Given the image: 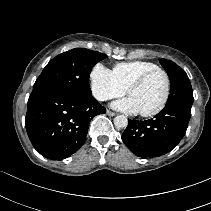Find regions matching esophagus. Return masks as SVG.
<instances>
[{
    "label": "esophagus",
    "mask_w": 211,
    "mask_h": 211,
    "mask_svg": "<svg viewBox=\"0 0 211 211\" xmlns=\"http://www.w3.org/2000/svg\"><path fill=\"white\" fill-rule=\"evenodd\" d=\"M106 114H107L108 116H114V115H115V113L112 112V111H110V110H107V111H106Z\"/></svg>",
    "instance_id": "obj_1"
}]
</instances>
